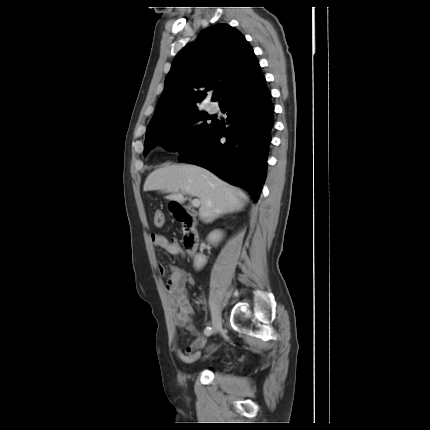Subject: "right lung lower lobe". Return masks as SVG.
<instances>
[{"label": "right lung lower lobe", "mask_w": 430, "mask_h": 430, "mask_svg": "<svg viewBox=\"0 0 430 430\" xmlns=\"http://www.w3.org/2000/svg\"><path fill=\"white\" fill-rule=\"evenodd\" d=\"M265 77L245 79L220 104L227 112L226 130L217 122L205 142L179 159L209 169L225 181L249 191L257 202L267 169L274 106ZM225 137L226 141H220Z\"/></svg>", "instance_id": "98d812e1"}]
</instances>
